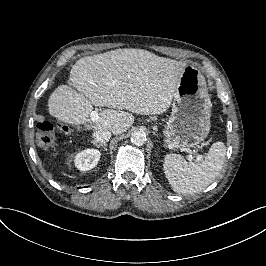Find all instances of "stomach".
Segmentation results:
<instances>
[{"mask_svg":"<svg viewBox=\"0 0 266 266\" xmlns=\"http://www.w3.org/2000/svg\"><path fill=\"white\" fill-rule=\"evenodd\" d=\"M212 103L202 73L187 66L180 76L172 113L162 129L163 146L169 151L199 145L211 130Z\"/></svg>","mask_w":266,"mask_h":266,"instance_id":"0dacf381","label":"stomach"}]
</instances>
